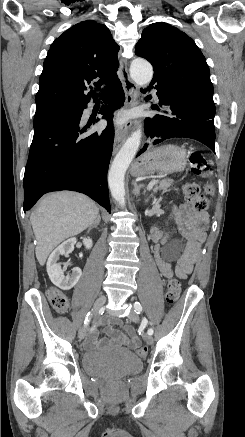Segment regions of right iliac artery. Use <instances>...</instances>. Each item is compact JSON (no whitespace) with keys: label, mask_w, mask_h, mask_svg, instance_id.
<instances>
[{"label":"right iliac artery","mask_w":245,"mask_h":437,"mask_svg":"<svg viewBox=\"0 0 245 437\" xmlns=\"http://www.w3.org/2000/svg\"><path fill=\"white\" fill-rule=\"evenodd\" d=\"M91 317H92V313L89 312V313L87 314L85 320H84V324H85V326H87V325L89 324V322H90V320H91Z\"/></svg>","instance_id":"82829eb1"}]
</instances>
